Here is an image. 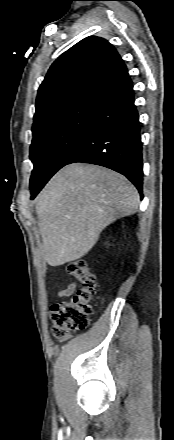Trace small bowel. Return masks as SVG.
Masks as SVG:
<instances>
[{"label":"small bowel","instance_id":"small-bowel-1","mask_svg":"<svg viewBox=\"0 0 174 440\" xmlns=\"http://www.w3.org/2000/svg\"><path fill=\"white\" fill-rule=\"evenodd\" d=\"M76 290V284L75 283H71L69 284L65 289L60 290L58 295L61 298H67L70 295H72Z\"/></svg>","mask_w":174,"mask_h":440}]
</instances>
